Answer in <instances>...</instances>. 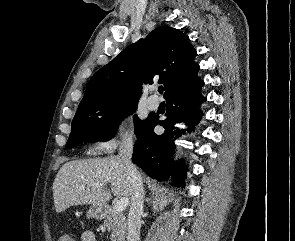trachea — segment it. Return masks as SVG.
Returning a JSON list of instances; mask_svg holds the SVG:
<instances>
[{"label":"trachea","instance_id":"obj_1","mask_svg":"<svg viewBox=\"0 0 295 241\" xmlns=\"http://www.w3.org/2000/svg\"><path fill=\"white\" fill-rule=\"evenodd\" d=\"M158 91H159L160 94H162L163 93V87L159 86Z\"/></svg>","mask_w":295,"mask_h":241}]
</instances>
